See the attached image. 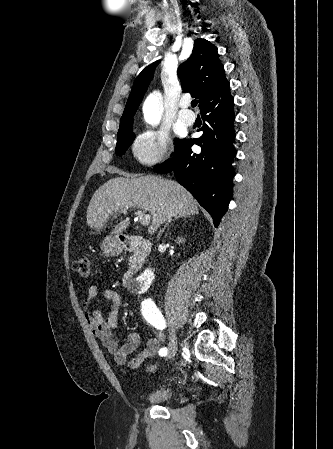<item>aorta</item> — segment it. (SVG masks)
Wrapping results in <instances>:
<instances>
[{
  "label": "aorta",
  "mask_w": 333,
  "mask_h": 449,
  "mask_svg": "<svg viewBox=\"0 0 333 449\" xmlns=\"http://www.w3.org/2000/svg\"><path fill=\"white\" fill-rule=\"evenodd\" d=\"M162 100L159 94L150 95L143 107L144 118L147 123L155 125L159 123L162 115Z\"/></svg>",
  "instance_id": "1"
}]
</instances>
